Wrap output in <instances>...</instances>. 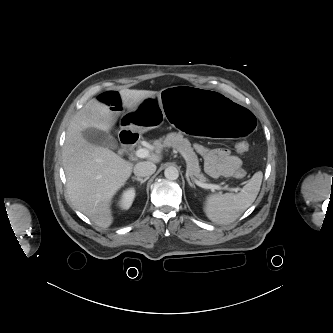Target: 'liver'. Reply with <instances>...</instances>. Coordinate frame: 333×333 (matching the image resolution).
Returning <instances> with one entry per match:
<instances>
[{
    "label": "liver",
    "mask_w": 333,
    "mask_h": 333,
    "mask_svg": "<svg viewBox=\"0 0 333 333\" xmlns=\"http://www.w3.org/2000/svg\"><path fill=\"white\" fill-rule=\"evenodd\" d=\"M119 93L123 107L132 111L157 92L123 89ZM115 122L116 115L106 104L90 100L71 120L62 151L70 202L103 228L113 222L112 197L131 176L133 163L108 148L88 142L82 132L89 128L108 132ZM160 160L161 155L150 156L152 163Z\"/></svg>",
    "instance_id": "1"
}]
</instances>
